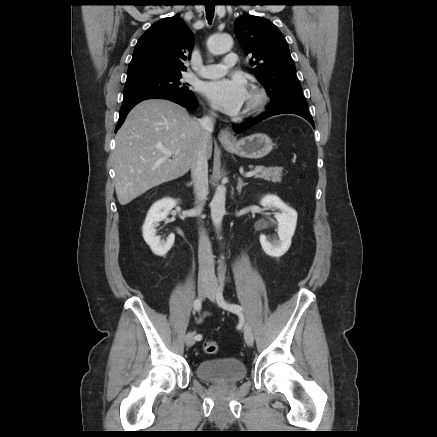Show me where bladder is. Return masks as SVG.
<instances>
[{"label": "bladder", "instance_id": "bladder-1", "mask_svg": "<svg viewBox=\"0 0 437 437\" xmlns=\"http://www.w3.org/2000/svg\"><path fill=\"white\" fill-rule=\"evenodd\" d=\"M196 375L199 379L212 383L237 382L245 378V364L236 358L203 360L196 365Z\"/></svg>", "mask_w": 437, "mask_h": 437}]
</instances>
